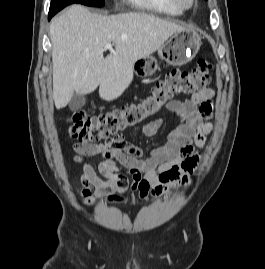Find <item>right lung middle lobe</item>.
<instances>
[{
    "label": "right lung middle lobe",
    "instance_id": "right-lung-middle-lobe-1",
    "mask_svg": "<svg viewBox=\"0 0 265 269\" xmlns=\"http://www.w3.org/2000/svg\"><path fill=\"white\" fill-rule=\"evenodd\" d=\"M73 3H80L87 6L102 7L105 5L104 0H52L50 8L66 7Z\"/></svg>",
    "mask_w": 265,
    "mask_h": 269
}]
</instances>
